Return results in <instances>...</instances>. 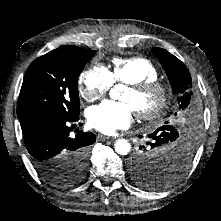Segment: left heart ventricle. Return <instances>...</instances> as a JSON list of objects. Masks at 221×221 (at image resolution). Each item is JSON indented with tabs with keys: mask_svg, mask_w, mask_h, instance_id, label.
<instances>
[{
	"mask_svg": "<svg viewBox=\"0 0 221 221\" xmlns=\"http://www.w3.org/2000/svg\"><path fill=\"white\" fill-rule=\"evenodd\" d=\"M121 100L130 104L134 111L150 110L158 103V95L156 93L137 96L128 88L121 95Z\"/></svg>",
	"mask_w": 221,
	"mask_h": 221,
	"instance_id": "obj_1",
	"label": "left heart ventricle"
}]
</instances>
